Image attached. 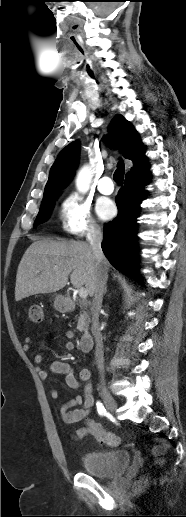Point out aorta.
I'll return each mask as SVG.
<instances>
[{"mask_svg":"<svg viewBox=\"0 0 186 517\" xmlns=\"http://www.w3.org/2000/svg\"><path fill=\"white\" fill-rule=\"evenodd\" d=\"M92 176V170L88 165L81 168L76 178V187L79 192L86 193L89 190Z\"/></svg>","mask_w":186,"mask_h":517,"instance_id":"obj_1","label":"aorta"}]
</instances>
